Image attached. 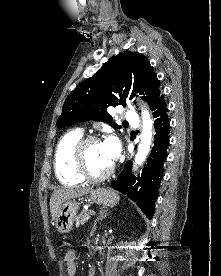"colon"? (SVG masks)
<instances>
[{"instance_id":"obj_1","label":"colon","mask_w":221,"mask_h":276,"mask_svg":"<svg viewBox=\"0 0 221 276\" xmlns=\"http://www.w3.org/2000/svg\"><path fill=\"white\" fill-rule=\"evenodd\" d=\"M56 246L57 247H65V246H67V243L64 240H58L56 242Z\"/></svg>"}]
</instances>
